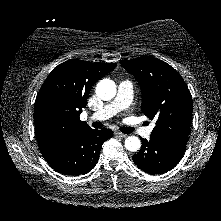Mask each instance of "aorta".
I'll list each match as a JSON object with an SVG mask.
<instances>
[{"label":"aorta","mask_w":221,"mask_h":221,"mask_svg":"<svg viewBox=\"0 0 221 221\" xmlns=\"http://www.w3.org/2000/svg\"><path fill=\"white\" fill-rule=\"evenodd\" d=\"M97 96L104 100L108 101L115 97L116 95V84L110 79H103L99 81L96 86ZM125 147L130 152H135L140 149L141 142L140 139L136 136H128L125 139Z\"/></svg>","instance_id":"762f6f07"}]
</instances>
